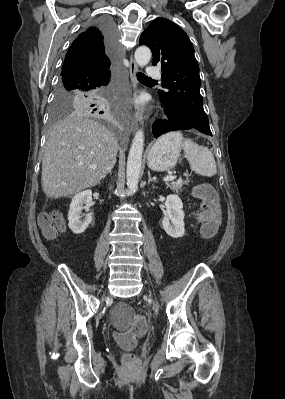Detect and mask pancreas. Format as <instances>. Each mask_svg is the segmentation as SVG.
<instances>
[{"label":"pancreas","instance_id":"obj_1","mask_svg":"<svg viewBox=\"0 0 285 399\" xmlns=\"http://www.w3.org/2000/svg\"><path fill=\"white\" fill-rule=\"evenodd\" d=\"M188 183H189V181L187 179L172 181V182L167 183V187H170V189L173 191L179 192V191H181L183 184L187 185Z\"/></svg>","mask_w":285,"mask_h":399}]
</instances>
